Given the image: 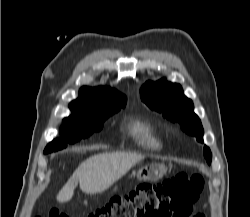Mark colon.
Segmentation results:
<instances>
[{
  "instance_id": "5ec220e1",
  "label": "colon",
  "mask_w": 250,
  "mask_h": 217,
  "mask_svg": "<svg viewBox=\"0 0 250 217\" xmlns=\"http://www.w3.org/2000/svg\"><path fill=\"white\" fill-rule=\"evenodd\" d=\"M203 186L201 175L184 173L161 183H143L127 194L112 198L87 217H186ZM49 217L71 216L52 210Z\"/></svg>"
}]
</instances>
